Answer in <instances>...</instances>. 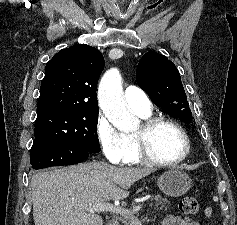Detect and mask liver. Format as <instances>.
<instances>
[{"instance_id": "1", "label": "liver", "mask_w": 237, "mask_h": 225, "mask_svg": "<svg viewBox=\"0 0 237 225\" xmlns=\"http://www.w3.org/2000/svg\"><path fill=\"white\" fill-rule=\"evenodd\" d=\"M152 168H120L86 162L34 174L31 179L35 225H103L90 205L123 199Z\"/></svg>"}]
</instances>
